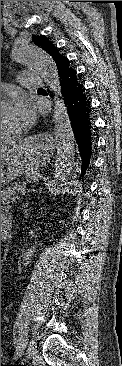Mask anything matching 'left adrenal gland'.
I'll use <instances>...</instances> for the list:
<instances>
[{"label":"left adrenal gland","mask_w":122,"mask_h":366,"mask_svg":"<svg viewBox=\"0 0 122 366\" xmlns=\"http://www.w3.org/2000/svg\"><path fill=\"white\" fill-rule=\"evenodd\" d=\"M24 207H28V203H26V204L24 205ZM26 211H27V210H26ZM26 211H25V212H26Z\"/></svg>","instance_id":"obj_1"}]
</instances>
